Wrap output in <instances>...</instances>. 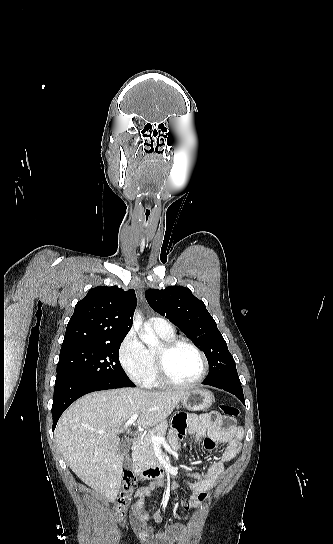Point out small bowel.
I'll list each match as a JSON object with an SVG mask.
<instances>
[{
  "label": "small bowel",
  "instance_id": "small-bowel-1",
  "mask_svg": "<svg viewBox=\"0 0 333 544\" xmlns=\"http://www.w3.org/2000/svg\"><path fill=\"white\" fill-rule=\"evenodd\" d=\"M225 422L228 424L225 425ZM186 434L193 436L196 440L205 437L204 447L208 451L215 450L217 443H226L221 455L211 462L204 472L190 475L192 480L188 481L187 485L192 494L188 500H180V505L184 509H189L197 507L205 499L207 493L223 474L225 464L238 455L243 431L233 423L232 419H225L218 412H212L175 419L170 432V444L174 450ZM161 485V481H154L150 486L141 488L132 506L131 525L142 544H179L187 535L186 528L181 524L172 525L157 534H154L147 526L145 499Z\"/></svg>",
  "mask_w": 333,
  "mask_h": 544
}]
</instances>
